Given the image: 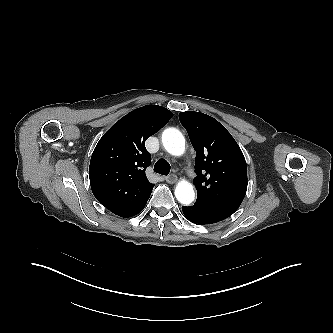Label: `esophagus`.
<instances>
[{"instance_id":"esophagus-1","label":"esophagus","mask_w":333,"mask_h":333,"mask_svg":"<svg viewBox=\"0 0 333 333\" xmlns=\"http://www.w3.org/2000/svg\"><path fill=\"white\" fill-rule=\"evenodd\" d=\"M165 180H166L167 183L173 184V183H176L178 179H177L176 175L171 174V175L165 177Z\"/></svg>"}]
</instances>
